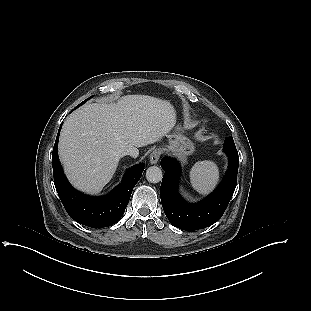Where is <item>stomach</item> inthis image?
Listing matches in <instances>:
<instances>
[{"label": "stomach", "mask_w": 311, "mask_h": 311, "mask_svg": "<svg viewBox=\"0 0 311 311\" xmlns=\"http://www.w3.org/2000/svg\"><path fill=\"white\" fill-rule=\"evenodd\" d=\"M168 138V149L178 155L183 163H186L187 156L191 155L194 150L192 142L181 133V128L179 127Z\"/></svg>", "instance_id": "stomach-1"}]
</instances>
